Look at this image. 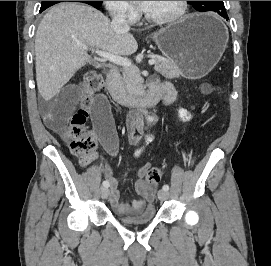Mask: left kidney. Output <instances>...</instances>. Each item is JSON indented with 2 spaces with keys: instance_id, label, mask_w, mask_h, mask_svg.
<instances>
[{
  "instance_id": "obj_1",
  "label": "left kidney",
  "mask_w": 271,
  "mask_h": 266,
  "mask_svg": "<svg viewBox=\"0 0 271 266\" xmlns=\"http://www.w3.org/2000/svg\"><path fill=\"white\" fill-rule=\"evenodd\" d=\"M178 115H179V118L184 122L189 121L192 118L191 114L183 108L179 109Z\"/></svg>"
}]
</instances>
